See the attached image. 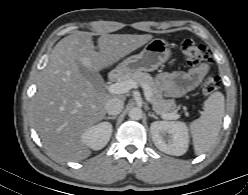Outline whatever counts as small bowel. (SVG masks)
Returning a JSON list of instances; mask_svg holds the SVG:
<instances>
[{
  "label": "small bowel",
  "instance_id": "obj_1",
  "mask_svg": "<svg viewBox=\"0 0 248 195\" xmlns=\"http://www.w3.org/2000/svg\"><path fill=\"white\" fill-rule=\"evenodd\" d=\"M208 65L202 64L186 72L162 73L157 83L169 97H181L193 91L208 72Z\"/></svg>",
  "mask_w": 248,
  "mask_h": 195
}]
</instances>
